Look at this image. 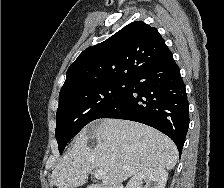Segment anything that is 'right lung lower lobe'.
<instances>
[{
	"instance_id": "98d812e1",
	"label": "right lung lower lobe",
	"mask_w": 224,
	"mask_h": 188,
	"mask_svg": "<svg viewBox=\"0 0 224 188\" xmlns=\"http://www.w3.org/2000/svg\"><path fill=\"white\" fill-rule=\"evenodd\" d=\"M102 118L126 119L149 125L170 137L181 155L189 127V104L173 56L130 80L124 100Z\"/></svg>"
}]
</instances>
